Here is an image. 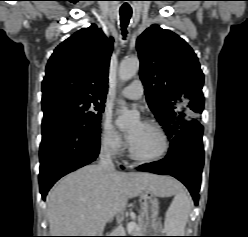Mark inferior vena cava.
Segmentation results:
<instances>
[{"label":"inferior vena cava","mask_w":248,"mask_h":237,"mask_svg":"<svg viewBox=\"0 0 248 237\" xmlns=\"http://www.w3.org/2000/svg\"><path fill=\"white\" fill-rule=\"evenodd\" d=\"M114 146L110 141H106L101 146V152L99 156V165L103 169L107 170H115L114 163L112 161V152H113Z\"/></svg>","instance_id":"inferior-vena-cava-1"}]
</instances>
